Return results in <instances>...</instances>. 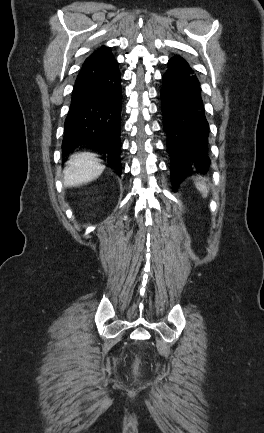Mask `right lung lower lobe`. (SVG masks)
<instances>
[{
	"mask_svg": "<svg viewBox=\"0 0 264 433\" xmlns=\"http://www.w3.org/2000/svg\"><path fill=\"white\" fill-rule=\"evenodd\" d=\"M121 105L118 63L112 54L97 50L85 60L75 81L64 124V155L78 145H90L105 154L108 166L120 175Z\"/></svg>",
	"mask_w": 264,
	"mask_h": 433,
	"instance_id": "obj_1",
	"label": "right lung lower lobe"
}]
</instances>
